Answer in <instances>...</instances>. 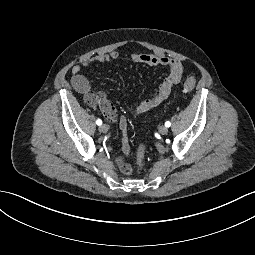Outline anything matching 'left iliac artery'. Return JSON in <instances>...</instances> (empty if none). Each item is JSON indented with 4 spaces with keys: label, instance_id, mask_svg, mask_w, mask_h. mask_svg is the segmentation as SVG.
<instances>
[{
    "label": "left iliac artery",
    "instance_id": "44dca946",
    "mask_svg": "<svg viewBox=\"0 0 255 255\" xmlns=\"http://www.w3.org/2000/svg\"><path fill=\"white\" fill-rule=\"evenodd\" d=\"M171 123L169 121L165 122L166 127H170Z\"/></svg>",
    "mask_w": 255,
    "mask_h": 255
}]
</instances>
